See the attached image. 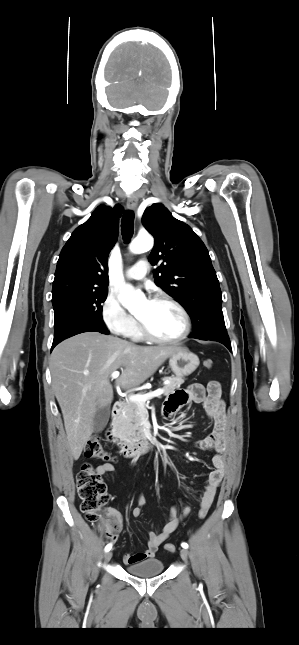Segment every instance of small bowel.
Wrapping results in <instances>:
<instances>
[{
  "label": "small bowel",
  "instance_id": "small-bowel-1",
  "mask_svg": "<svg viewBox=\"0 0 299 645\" xmlns=\"http://www.w3.org/2000/svg\"><path fill=\"white\" fill-rule=\"evenodd\" d=\"M200 403L203 405L207 417L213 422L212 432L204 439L197 442L201 449H214L216 454L212 458V471L208 474L205 489L200 497L201 508L209 509L216 491L224 477L226 455L228 449V432L225 420V405L221 399V389L218 383L210 382L205 388L202 384L194 383L186 389L174 392L166 400L163 413L170 417L177 413L182 407ZM114 471V465L106 462L100 464L96 472L99 475L109 474ZM146 503L144 495L140 494L137 505L132 509L135 518L142 516V508ZM190 513V508L185 507L181 515L177 514L176 508L170 510L168 519L160 532L150 531L148 533L147 548L145 551L135 554L126 553L123 561L126 565L135 564L147 559L154 558L161 544L177 529L181 520ZM108 514L119 529L123 526V518L115 509H109Z\"/></svg>",
  "mask_w": 299,
  "mask_h": 645
}]
</instances>
